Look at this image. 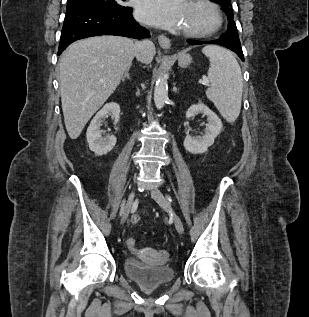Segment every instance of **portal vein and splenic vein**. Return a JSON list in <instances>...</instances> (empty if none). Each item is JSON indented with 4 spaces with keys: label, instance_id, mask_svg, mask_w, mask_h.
<instances>
[{
    "label": "portal vein and splenic vein",
    "instance_id": "obj_1",
    "mask_svg": "<svg viewBox=\"0 0 309 317\" xmlns=\"http://www.w3.org/2000/svg\"><path fill=\"white\" fill-rule=\"evenodd\" d=\"M204 84H208V80L207 79L204 80Z\"/></svg>",
    "mask_w": 309,
    "mask_h": 317
}]
</instances>
